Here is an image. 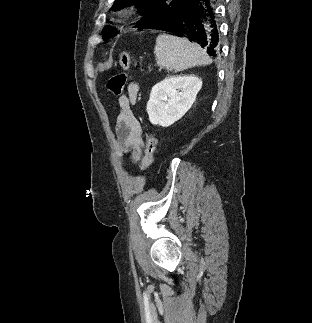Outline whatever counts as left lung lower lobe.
I'll return each mask as SVG.
<instances>
[{
    "instance_id": "0a47b994",
    "label": "left lung lower lobe",
    "mask_w": 312,
    "mask_h": 323,
    "mask_svg": "<svg viewBox=\"0 0 312 323\" xmlns=\"http://www.w3.org/2000/svg\"><path fill=\"white\" fill-rule=\"evenodd\" d=\"M215 4L213 0H174L171 11L154 29L187 37L216 57L220 48Z\"/></svg>"
}]
</instances>
